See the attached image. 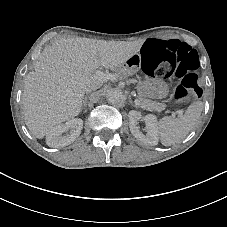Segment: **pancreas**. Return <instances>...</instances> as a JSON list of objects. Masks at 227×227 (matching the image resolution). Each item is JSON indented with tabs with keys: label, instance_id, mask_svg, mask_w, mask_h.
I'll use <instances>...</instances> for the list:
<instances>
[{
	"label": "pancreas",
	"instance_id": "1",
	"mask_svg": "<svg viewBox=\"0 0 227 227\" xmlns=\"http://www.w3.org/2000/svg\"><path fill=\"white\" fill-rule=\"evenodd\" d=\"M117 73L121 76H132V74H128L125 70L121 69L120 67L117 68ZM139 99L141 101V105L144 108H148L151 110H160L162 108L161 103L153 101L149 98H147L146 96L139 94Z\"/></svg>",
	"mask_w": 227,
	"mask_h": 227
}]
</instances>
